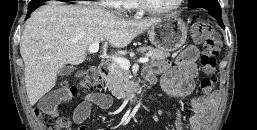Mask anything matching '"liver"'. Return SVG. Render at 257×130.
Here are the masks:
<instances>
[{
  "label": "liver",
  "mask_w": 257,
  "mask_h": 130,
  "mask_svg": "<svg viewBox=\"0 0 257 130\" xmlns=\"http://www.w3.org/2000/svg\"><path fill=\"white\" fill-rule=\"evenodd\" d=\"M158 20H126L101 9L55 1L41 6L27 20L20 42L30 105L55 86L65 64L83 63L92 44L106 40L124 48Z\"/></svg>",
  "instance_id": "liver-1"
}]
</instances>
